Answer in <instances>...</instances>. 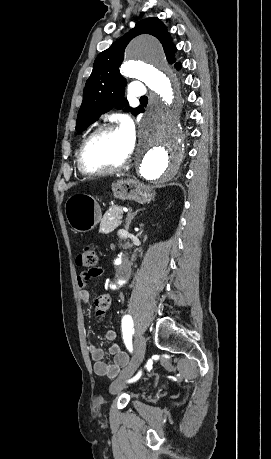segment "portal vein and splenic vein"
Returning a JSON list of instances; mask_svg holds the SVG:
<instances>
[{
    "instance_id": "1",
    "label": "portal vein and splenic vein",
    "mask_w": 271,
    "mask_h": 459,
    "mask_svg": "<svg viewBox=\"0 0 271 459\" xmlns=\"http://www.w3.org/2000/svg\"><path fill=\"white\" fill-rule=\"evenodd\" d=\"M118 219H122L123 218V214H118Z\"/></svg>"
}]
</instances>
